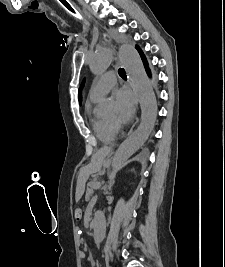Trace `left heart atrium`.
<instances>
[{"label":"left heart atrium","mask_w":225,"mask_h":267,"mask_svg":"<svg viewBox=\"0 0 225 267\" xmlns=\"http://www.w3.org/2000/svg\"><path fill=\"white\" fill-rule=\"evenodd\" d=\"M114 97L117 104L116 122L121 125L131 118L134 111V99L131 92L126 88L117 90Z\"/></svg>","instance_id":"39dd6f15"}]
</instances>
